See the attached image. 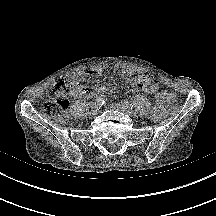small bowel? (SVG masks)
Segmentation results:
<instances>
[{
  "label": "small bowel",
  "instance_id": "small-bowel-1",
  "mask_svg": "<svg viewBox=\"0 0 216 216\" xmlns=\"http://www.w3.org/2000/svg\"><path fill=\"white\" fill-rule=\"evenodd\" d=\"M122 74L123 77L129 81V84L134 91H144L155 96L152 117L155 120L160 119L165 112L166 105L169 103L170 93L160 92L157 83L145 73H140L135 77V72L132 69H125ZM134 77L136 78L135 80H133ZM110 78L114 79V76H111ZM109 88L110 87L107 84L102 83L87 87L77 86L72 92V95L76 97H91L101 91L108 90Z\"/></svg>",
  "mask_w": 216,
  "mask_h": 216
}]
</instances>
